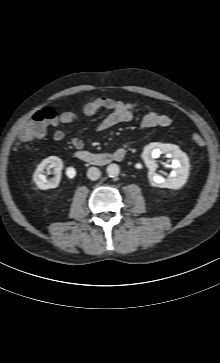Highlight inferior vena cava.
I'll return each instance as SVG.
<instances>
[{
	"label": "inferior vena cava",
	"mask_w": 220,
	"mask_h": 363,
	"mask_svg": "<svg viewBox=\"0 0 220 363\" xmlns=\"http://www.w3.org/2000/svg\"><path fill=\"white\" fill-rule=\"evenodd\" d=\"M101 175V172L98 168L96 167H90L87 171V177L90 180H97Z\"/></svg>",
	"instance_id": "obj_1"
}]
</instances>
